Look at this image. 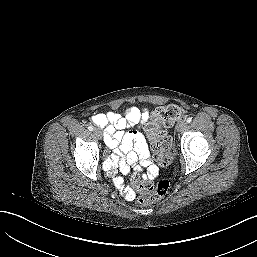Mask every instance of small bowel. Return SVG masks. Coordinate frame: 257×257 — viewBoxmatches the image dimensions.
Returning a JSON list of instances; mask_svg holds the SVG:
<instances>
[{
  "label": "small bowel",
  "mask_w": 257,
  "mask_h": 257,
  "mask_svg": "<svg viewBox=\"0 0 257 257\" xmlns=\"http://www.w3.org/2000/svg\"><path fill=\"white\" fill-rule=\"evenodd\" d=\"M149 112L137 107H129L123 114L116 111L97 113L91 118L94 125L104 132L106 144L113 150L104 162L105 170L113 177L116 187L128 199H134L133 191L124 185V177L132 167L145 169V178L152 179L157 175L146 139L137 130H128L145 123Z\"/></svg>",
  "instance_id": "1"
}]
</instances>
